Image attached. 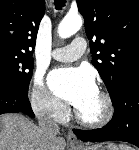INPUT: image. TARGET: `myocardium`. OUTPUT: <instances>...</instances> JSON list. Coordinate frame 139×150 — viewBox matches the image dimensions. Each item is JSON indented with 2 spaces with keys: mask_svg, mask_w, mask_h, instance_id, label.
<instances>
[{
  "mask_svg": "<svg viewBox=\"0 0 139 150\" xmlns=\"http://www.w3.org/2000/svg\"><path fill=\"white\" fill-rule=\"evenodd\" d=\"M98 94L100 95L104 104L103 115L97 120H87L84 117H82L79 111L76 109L75 119L80 125L91 129L102 128L108 125L113 119L115 114V106L111 95L104 90H98Z\"/></svg>",
  "mask_w": 139,
  "mask_h": 150,
  "instance_id": "myocardium-1",
  "label": "myocardium"
}]
</instances>
